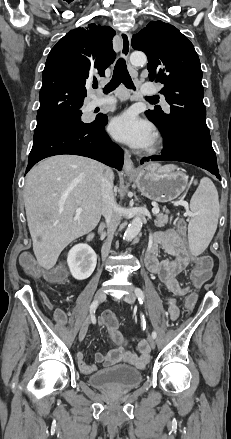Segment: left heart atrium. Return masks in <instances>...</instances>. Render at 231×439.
<instances>
[{
  "instance_id": "obj_1",
  "label": "left heart atrium",
  "mask_w": 231,
  "mask_h": 439,
  "mask_svg": "<svg viewBox=\"0 0 231 439\" xmlns=\"http://www.w3.org/2000/svg\"><path fill=\"white\" fill-rule=\"evenodd\" d=\"M111 134L120 141L135 148L149 146L154 139V129L150 123L139 118L132 110L115 117L110 124Z\"/></svg>"
}]
</instances>
